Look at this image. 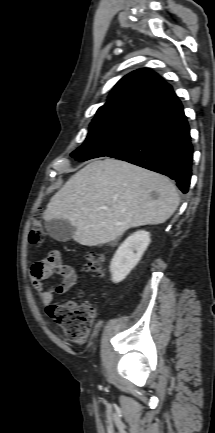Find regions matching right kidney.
<instances>
[{
  "label": "right kidney",
  "instance_id": "1",
  "mask_svg": "<svg viewBox=\"0 0 215 433\" xmlns=\"http://www.w3.org/2000/svg\"><path fill=\"white\" fill-rule=\"evenodd\" d=\"M149 243L150 233L139 230L120 245L110 264L113 282L118 283L126 278L140 261Z\"/></svg>",
  "mask_w": 215,
  "mask_h": 433
}]
</instances>
